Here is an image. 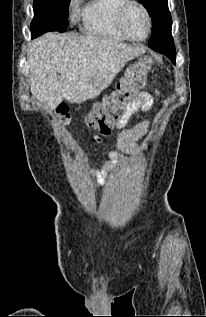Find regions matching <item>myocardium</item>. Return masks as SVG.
I'll list each match as a JSON object with an SVG mask.
<instances>
[{
    "label": "myocardium",
    "mask_w": 206,
    "mask_h": 317,
    "mask_svg": "<svg viewBox=\"0 0 206 317\" xmlns=\"http://www.w3.org/2000/svg\"><path fill=\"white\" fill-rule=\"evenodd\" d=\"M132 6L139 7L143 11V13L146 17L147 33L143 38H134L125 29V26H124L125 17H126L128 10ZM115 25H116V28L119 31V33L124 38L131 40V41H134V42H143V41L147 40L151 34V31H152V19H151L150 12L147 9V7L138 0H125V2L118 7L116 14H115Z\"/></svg>",
    "instance_id": "obj_1"
}]
</instances>
